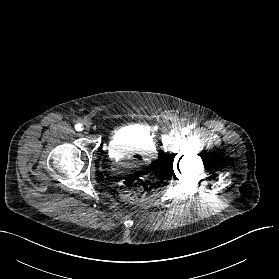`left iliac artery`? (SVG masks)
<instances>
[{
    "label": "left iliac artery",
    "instance_id": "obj_1",
    "mask_svg": "<svg viewBox=\"0 0 279 279\" xmlns=\"http://www.w3.org/2000/svg\"><path fill=\"white\" fill-rule=\"evenodd\" d=\"M190 128H193V127L190 126V127L184 128V129H183V130H184V134H188V133L190 132Z\"/></svg>",
    "mask_w": 279,
    "mask_h": 279
}]
</instances>
